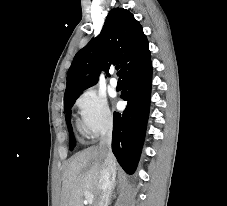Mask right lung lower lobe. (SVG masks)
<instances>
[{
  "label": "right lung lower lobe",
  "mask_w": 227,
  "mask_h": 206,
  "mask_svg": "<svg viewBox=\"0 0 227 206\" xmlns=\"http://www.w3.org/2000/svg\"><path fill=\"white\" fill-rule=\"evenodd\" d=\"M127 101L124 112H114L112 151L122 168L132 174L138 164L150 107L152 63L150 57L128 69L121 77Z\"/></svg>",
  "instance_id": "98d812e1"
}]
</instances>
